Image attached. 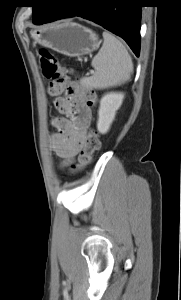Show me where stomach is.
<instances>
[{
  "label": "stomach",
  "mask_w": 181,
  "mask_h": 300,
  "mask_svg": "<svg viewBox=\"0 0 181 300\" xmlns=\"http://www.w3.org/2000/svg\"><path fill=\"white\" fill-rule=\"evenodd\" d=\"M33 39L69 57L93 52L99 45L98 35L91 29L74 22L50 25L32 33Z\"/></svg>",
  "instance_id": "obj_1"
}]
</instances>
